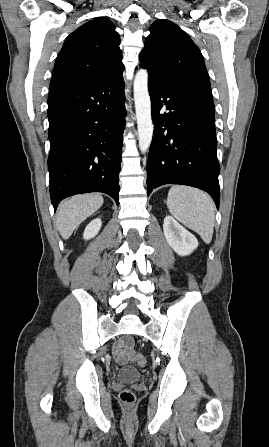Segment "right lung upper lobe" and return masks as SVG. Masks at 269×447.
<instances>
[{
    "mask_svg": "<svg viewBox=\"0 0 269 447\" xmlns=\"http://www.w3.org/2000/svg\"><path fill=\"white\" fill-rule=\"evenodd\" d=\"M120 37L105 17L80 26L65 40L54 65L49 90L99 84L122 74Z\"/></svg>",
    "mask_w": 269,
    "mask_h": 447,
    "instance_id": "cb5924a9",
    "label": "right lung upper lobe"
}]
</instances>
